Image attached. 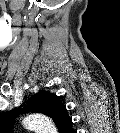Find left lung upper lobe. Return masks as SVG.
I'll return each instance as SVG.
<instances>
[{"label":"left lung upper lobe","mask_w":120,"mask_h":133,"mask_svg":"<svg viewBox=\"0 0 120 133\" xmlns=\"http://www.w3.org/2000/svg\"><path fill=\"white\" fill-rule=\"evenodd\" d=\"M35 98L29 111L46 114L53 118L55 122L65 123V109L59 102L58 98H54L46 93H43L39 99Z\"/></svg>","instance_id":"5c2ea615"}]
</instances>
